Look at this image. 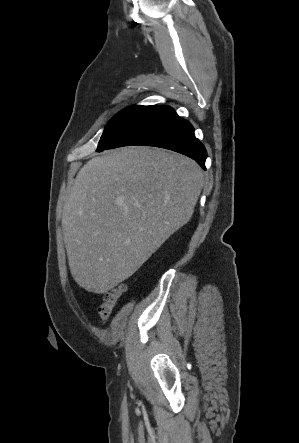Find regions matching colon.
<instances>
[{
    "mask_svg": "<svg viewBox=\"0 0 299 443\" xmlns=\"http://www.w3.org/2000/svg\"><path fill=\"white\" fill-rule=\"evenodd\" d=\"M126 288V284H121L103 297L102 302L98 307V313L103 320H107L110 317L119 298L126 291Z\"/></svg>",
    "mask_w": 299,
    "mask_h": 443,
    "instance_id": "1",
    "label": "colon"
}]
</instances>
